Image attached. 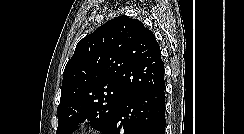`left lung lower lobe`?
I'll return each mask as SVG.
<instances>
[{
    "label": "left lung lower lobe",
    "instance_id": "1",
    "mask_svg": "<svg viewBox=\"0 0 244 134\" xmlns=\"http://www.w3.org/2000/svg\"><path fill=\"white\" fill-rule=\"evenodd\" d=\"M164 85L132 94L119 106L105 134H165Z\"/></svg>",
    "mask_w": 244,
    "mask_h": 134
}]
</instances>
